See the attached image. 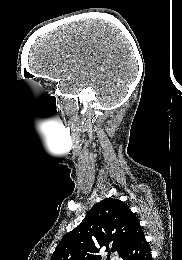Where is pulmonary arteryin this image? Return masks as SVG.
I'll return each mask as SVG.
<instances>
[{
  "mask_svg": "<svg viewBox=\"0 0 182 260\" xmlns=\"http://www.w3.org/2000/svg\"><path fill=\"white\" fill-rule=\"evenodd\" d=\"M111 260H121L119 257H112Z\"/></svg>",
  "mask_w": 182,
  "mask_h": 260,
  "instance_id": "e3ab8cb5",
  "label": "pulmonary artery"
}]
</instances>
